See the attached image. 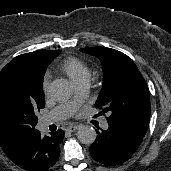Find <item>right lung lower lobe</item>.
I'll use <instances>...</instances> for the list:
<instances>
[{
    "label": "right lung lower lobe",
    "mask_w": 171,
    "mask_h": 171,
    "mask_svg": "<svg viewBox=\"0 0 171 171\" xmlns=\"http://www.w3.org/2000/svg\"><path fill=\"white\" fill-rule=\"evenodd\" d=\"M63 138V130L44 137L38 131L12 161L27 171H47L59 158V144Z\"/></svg>",
    "instance_id": "obj_1"
}]
</instances>
